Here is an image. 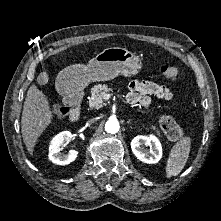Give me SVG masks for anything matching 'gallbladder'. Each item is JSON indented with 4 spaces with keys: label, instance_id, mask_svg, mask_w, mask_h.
Masks as SVG:
<instances>
[{
    "label": "gallbladder",
    "instance_id": "1",
    "mask_svg": "<svg viewBox=\"0 0 221 221\" xmlns=\"http://www.w3.org/2000/svg\"><path fill=\"white\" fill-rule=\"evenodd\" d=\"M47 79H48V76L46 73H40L37 78V81H38V83H40L42 85L47 82Z\"/></svg>",
    "mask_w": 221,
    "mask_h": 221
}]
</instances>
